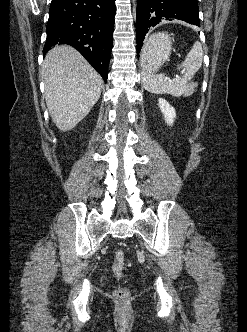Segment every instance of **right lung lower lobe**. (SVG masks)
I'll return each mask as SVG.
<instances>
[{
  "instance_id": "obj_1",
  "label": "right lung lower lobe",
  "mask_w": 247,
  "mask_h": 332,
  "mask_svg": "<svg viewBox=\"0 0 247 332\" xmlns=\"http://www.w3.org/2000/svg\"><path fill=\"white\" fill-rule=\"evenodd\" d=\"M115 1L52 0L43 53L57 44L71 45L106 83L113 45Z\"/></svg>"
}]
</instances>
